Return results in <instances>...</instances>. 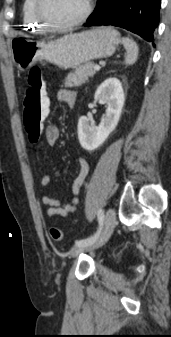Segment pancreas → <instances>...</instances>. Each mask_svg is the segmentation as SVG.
I'll return each instance as SVG.
<instances>
[{
    "label": "pancreas",
    "mask_w": 171,
    "mask_h": 337,
    "mask_svg": "<svg viewBox=\"0 0 171 337\" xmlns=\"http://www.w3.org/2000/svg\"><path fill=\"white\" fill-rule=\"evenodd\" d=\"M94 63L87 62L79 65L70 72L64 82L65 87H78L85 84L89 77H93L96 71L94 70Z\"/></svg>",
    "instance_id": "cf45deb5"
}]
</instances>
